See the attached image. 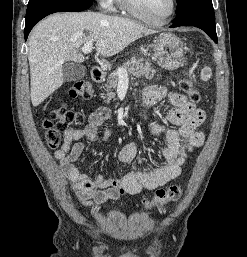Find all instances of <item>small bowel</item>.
Masks as SVG:
<instances>
[{
  "label": "small bowel",
  "instance_id": "1",
  "mask_svg": "<svg viewBox=\"0 0 247 257\" xmlns=\"http://www.w3.org/2000/svg\"><path fill=\"white\" fill-rule=\"evenodd\" d=\"M157 99H167L172 108L166 114V120L177 128L166 129L158 123H149L154 134H164L166 145L161 148L164 165L152 170H136L130 168L121 178H105L102 175L91 176L82 172L76 161L86 147L81 141L93 142L98 134L104 141L110 137V131L104 128V123L111 118L108 108H98L89 116L88 123L83 128H67L63 133V143L54 151L66 178L71 182V189L77 199L85 206L94 203L103 204L108 200H116L123 194L136 195L143 190H154L166 185L181 174L182 165L188 155L203 145L204 133L198 127L205 120V112L189 102L187 97L162 85H149L142 93V103L145 108ZM138 147L135 142L126 143L119 151L118 159L124 164H133Z\"/></svg>",
  "mask_w": 247,
  "mask_h": 257
}]
</instances>
